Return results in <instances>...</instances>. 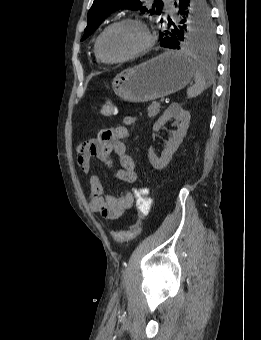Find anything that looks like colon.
I'll return each instance as SVG.
<instances>
[{
	"label": "colon",
	"mask_w": 261,
	"mask_h": 340,
	"mask_svg": "<svg viewBox=\"0 0 261 340\" xmlns=\"http://www.w3.org/2000/svg\"><path fill=\"white\" fill-rule=\"evenodd\" d=\"M114 113L115 107L110 102H106L100 108V114L102 116H111ZM133 195L135 201V209L138 213V219L136 223L130 226L127 230L113 233V238L118 242H128L136 238L142 230L145 217L151 211L152 200L149 197V191L146 187L141 186L135 188L133 191Z\"/></svg>",
	"instance_id": "5ec220e1"
}]
</instances>
